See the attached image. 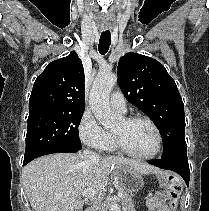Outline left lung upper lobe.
<instances>
[{"instance_id": "1", "label": "left lung upper lobe", "mask_w": 209, "mask_h": 211, "mask_svg": "<svg viewBox=\"0 0 209 211\" xmlns=\"http://www.w3.org/2000/svg\"><path fill=\"white\" fill-rule=\"evenodd\" d=\"M117 72L125 98L160 130L164 142L161 158L186 151L184 105L165 67L153 58L129 52L120 58Z\"/></svg>"}]
</instances>
